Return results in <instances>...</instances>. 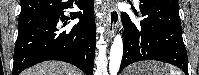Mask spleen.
<instances>
[{
  "label": "spleen",
  "instance_id": "obj_1",
  "mask_svg": "<svg viewBox=\"0 0 199 75\" xmlns=\"http://www.w3.org/2000/svg\"><path fill=\"white\" fill-rule=\"evenodd\" d=\"M170 74L169 75H182V73L175 67H170Z\"/></svg>",
  "mask_w": 199,
  "mask_h": 75
}]
</instances>
